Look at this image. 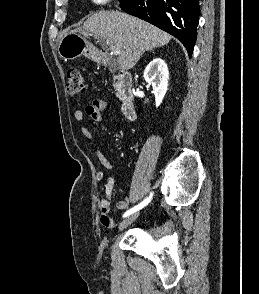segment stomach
<instances>
[{
	"label": "stomach",
	"mask_w": 259,
	"mask_h": 294,
	"mask_svg": "<svg viewBox=\"0 0 259 294\" xmlns=\"http://www.w3.org/2000/svg\"><path fill=\"white\" fill-rule=\"evenodd\" d=\"M58 53L64 59H75L82 55L87 58H94V49L77 31L67 32L58 45Z\"/></svg>",
	"instance_id": "1"
}]
</instances>
